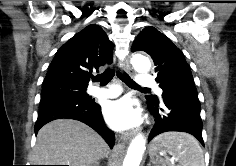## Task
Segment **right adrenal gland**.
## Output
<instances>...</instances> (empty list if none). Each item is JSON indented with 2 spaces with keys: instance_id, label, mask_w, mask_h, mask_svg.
Listing matches in <instances>:
<instances>
[{
  "instance_id": "obj_1",
  "label": "right adrenal gland",
  "mask_w": 236,
  "mask_h": 166,
  "mask_svg": "<svg viewBox=\"0 0 236 166\" xmlns=\"http://www.w3.org/2000/svg\"><path fill=\"white\" fill-rule=\"evenodd\" d=\"M93 166H99V162L95 163Z\"/></svg>"
}]
</instances>
